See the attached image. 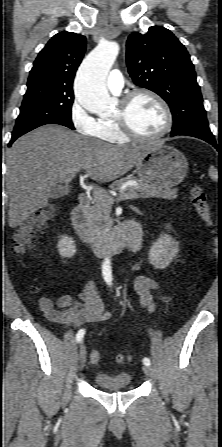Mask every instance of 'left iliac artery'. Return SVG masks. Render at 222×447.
<instances>
[{
	"mask_svg": "<svg viewBox=\"0 0 222 447\" xmlns=\"http://www.w3.org/2000/svg\"><path fill=\"white\" fill-rule=\"evenodd\" d=\"M143 363H144L145 365H150V364H151V362H150V360H149L148 358H144V359H143Z\"/></svg>",
	"mask_w": 222,
	"mask_h": 447,
	"instance_id": "obj_1",
	"label": "left iliac artery"
}]
</instances>
